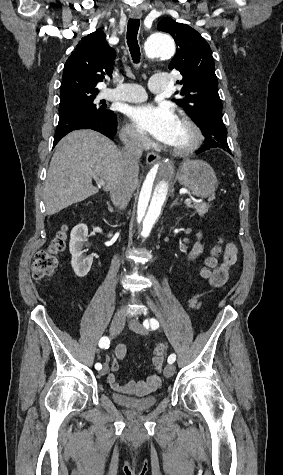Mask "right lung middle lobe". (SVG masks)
<instances>
[{"label": "right lung middle lobe", "instance_id": "right-lung-middle-lobe-1", "mask_svg": "<svg viewBox=\"0 0 283 475\" xmlns=\"http://www.w3.org/2000/svg\"><path fill=\"white\" fill-rule=\"evenodd\" d=\"M98 93L78 91L61 92L59 115L70 111L80 110L92 114L96 118L106 119L113 115V111L98 106L94 100Z\"/></svg>", "mask_w": 283, "mask_h": 475}]
</instances>
